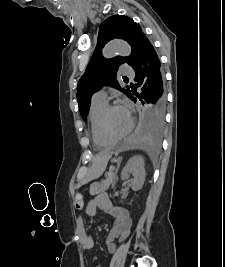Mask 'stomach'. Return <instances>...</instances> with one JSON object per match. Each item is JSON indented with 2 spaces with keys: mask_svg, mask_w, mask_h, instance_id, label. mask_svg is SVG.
<instances>
[{
  "mask_svg": "<svg viewBox=\"0 0 225 267\" xmlns=\"http://www.w3.org/2000/svg\"><path fill=\"white\" fill-rule=\"evenodd\" d=\"M109 157H110L109 154H104L102 156V158L98 162H96L97 164L94 167V172H95L96 176H94L92 178H96V177L100 176L101 173H103V171L106 168Z\"/></svg>",
  "mask_w": 225,
  "mask_h": 267,
  "instance_id": "0dacf381",
  "label": "stomach"
}]
</instances>
